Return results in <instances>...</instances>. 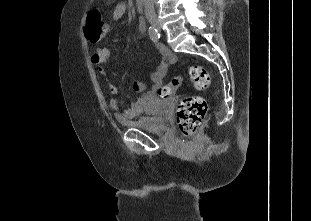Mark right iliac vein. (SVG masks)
<instances>
[{
    "label": "right iliac vein",
    "instance_id": "63e3f726",
    "mask_svg": "<svg viewBox=\"0 0 311 221\" xmlns=\"http://www.w3.org/2000/svg\"><path fill=\"white\" fill-rule=\"evenodd\" d=\"M151 24H152L153 27L159 28V23H158V21H152Z\"/></svg>",
    "mask_w": 311,
    "mask_h": 221
}]
</instances>
